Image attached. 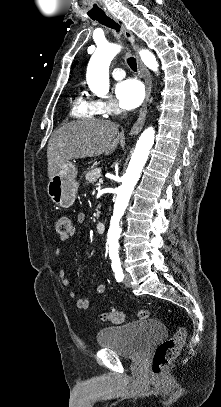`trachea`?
<instances>
[{"instance_id":"3493384b","label":"trachea","mask_w":221,"mask_h":407,"mask_svg":"<svg viewBox=\"0 0 221 407\" xmlns=\"http://www.w3.org/2000/svg\"><path fill=\"white\" fill-rule=\"evenodd\" d=\"M92 20H96L102 25H105L111 29L116 30V32L120 31V26L116 23L113 19L107 16L105 13L99 14L97 16L90 17ZM127 63L133 71H137V63L136 59L133 57L127 58Z\"/></svg>"}]
</instances>
